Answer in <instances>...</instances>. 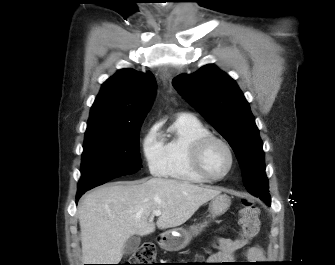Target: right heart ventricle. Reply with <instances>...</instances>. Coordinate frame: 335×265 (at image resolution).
<instances>
[{
  "label": "right heart ventricle",
  "mask_w": 335,
  "mask_h": 265,
  "mask_svg": "<svg viewBox=\"0 0 335 265\" xmlns=\"http://www.w3.org/2000/svg\"><path fill=\"white\" fill-rule=\"evenodd\" d=\"M208 134H211L209 129L196 117L179 115L162 140L165 159L163 175L185 183H205L207 180L192 166L191 151L194 143Z\"/></svg>",
  "instance_id": "obj_1"
}]
</instances>
